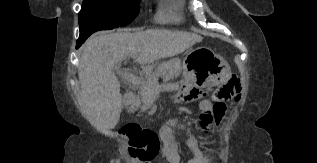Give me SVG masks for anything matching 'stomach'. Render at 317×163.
I'll list each match as a JSON object with an SVG mask.
<instances>
[{"label": "stomach", "mask_w": 317, "mask_h": 163, "mask_svg": "<svg viewBox=\"0 0 317 163\" xmlns=\"http://www.w3.org/2000/svg\"><path fill=\"white\" fill-rule=\"evenodd\" d=\"M205 51L206 59L198 68L183 65L185 79L199 82L203 87H213L225 82L231 73L228 63L211 49L205 48Z\"/></svg>", "instance_id": "0dacf381"}]
</instances>
